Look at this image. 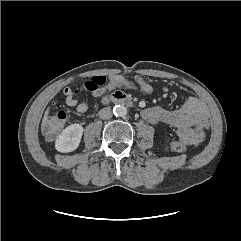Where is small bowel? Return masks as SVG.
<instances>
[{"instance_id": "obj_1", "label": "small bowel", "mask_w": 241, "mask_h": 241, "mask_svg": "<svg viewBox=\"0 0 241 241\" xmlns=\"http://www.w3.org/2000/svg\"><path fill=\"white\" fill-rule=\"evenodd\" d=\"M122 78L114 76L111 80ZM141 93L147 95L151 92V86L140 89ZM66 103L70 107H76L77 112L85 113L88 110L86 102L78 103L73 89H64ZM142 118L151 124L164 123L172 126L177 131L179 140L186 145H198L205 137V129L208 126V114L204 104L196 97H189L184 104L176 110H165L161 107H151L142 110Z\"/></svg>"}]
</instances>
